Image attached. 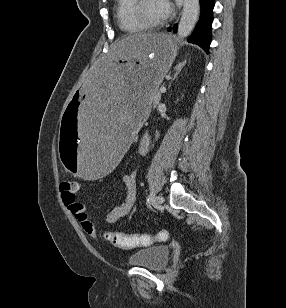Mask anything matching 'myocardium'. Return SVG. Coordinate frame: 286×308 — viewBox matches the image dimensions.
I'll list each match as a JSON object with an SVG mask.
<instances>
[{"label":"myocardium","mask_w":286,"mask_h":308,"mask_svg":"<svg viewBox=\"0 0 286 308\" xmlns=\"http://www.w3.org/2000/svg\"><path fill=\"white\" fill-rule=\"evenodd\" d=\"M145 0H135V3L132 6V15L134 19L145 29H157L162 27L167 19H163L159 22H151L144 18L141 8Z\"/></svg>","instance_id":"f54148a6"}]
</instances>
